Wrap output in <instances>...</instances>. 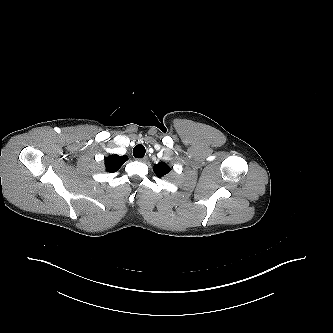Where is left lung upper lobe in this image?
<instances>
[{"label":"left lung upper lobe","mask_w":333,"mask_h":333,"mask_svg":"<svg viewBox=\"0 0 333 333\" xmlns=\"http://www.w3.org/2000/svg\"><path fill=\"white\" fill-rule=\"evenodd\" d=\"M153 170H154L155 174L159 178H161V177L166 176L170 172L171 169L166 163L160 162L153 166Z\"/></svg>","instance_id":"obj_1"}]
</instances>
